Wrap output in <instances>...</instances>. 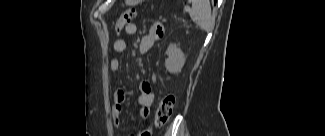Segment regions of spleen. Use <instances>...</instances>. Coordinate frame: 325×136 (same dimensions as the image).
I'll return each instance as SVG.
<instances>
[{
    "instance_id": "obj_1",
    "label": "spleen",
    "mask_w": 325,
    "mask_h": 136,
    "mask_svg": "<svg viewBox=\"0 0 325 136\" xmlns=\"http://www.w3.org/2000/svg\"><path fill=\"white\" fill-rule=\"evenodd\" d=\"M190 17L193 22L202 30L210 31L213 27L211 7L209 0H193Z\"/></svg>"
}]
</instances>
